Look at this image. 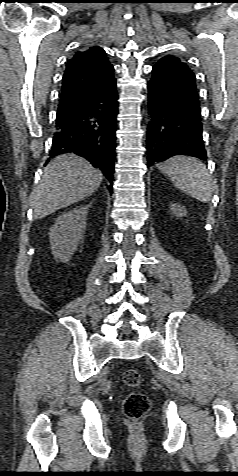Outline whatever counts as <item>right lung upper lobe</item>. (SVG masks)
<instances>
[{"label": "right lung upper lobe", "instance_id": "1", "mask_svg": "<svg viewBox=\"0 0 238 476\" xmlns=\"http://www.w3.org/2000/svg\"><path fill=\"white\" fill-rule=\"evenodd\" d=\"M113 71L99 46L75 53L63 75L58 111L71 109L97 95L114 79Z\"/></svg>", "mask_w": 238, "mask_h": 476}]
</instances>
